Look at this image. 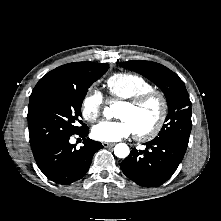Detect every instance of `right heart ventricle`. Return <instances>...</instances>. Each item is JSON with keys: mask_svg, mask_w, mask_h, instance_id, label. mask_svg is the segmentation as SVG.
<instances>
[{"mask_svg": "<svg viewBox=\"0 0 221 221\" xmlns=\"http://www.w3.org/2000/svg\"><path fill=\"white\" fill-rule=\"evenodd\" d=\"M106 88L112 98L126 100L152 90L153 86L140 75L122 72L110 76L106 81Z\"/></svg>", "mask_w": 221, "mask_h": 221, "instance_id": "1", "label": "right heart ventricle"}]
</instances>
